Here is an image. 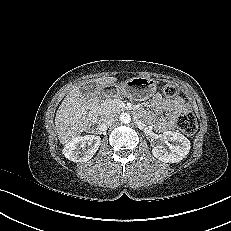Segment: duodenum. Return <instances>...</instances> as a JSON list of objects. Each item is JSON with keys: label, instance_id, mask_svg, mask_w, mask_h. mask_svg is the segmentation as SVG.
<instances>
[{"label": "duodenum", "instance_id": "obj_1", "mask_svg": "<svg viewBox=\"0 0 231 231\" xmlns=\"http://www.w3.org/2000/svg\"><path fill=\"white\" fill-rule=\"evenodd\" d=\"M98 103H99V99L97 97H91L89 100V105L91 108L90 118L92 120H95L97 117V105H98Z\"/></svg>", "mask_w": 231, "mask_h": 231}]
</instances>
